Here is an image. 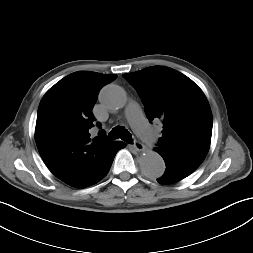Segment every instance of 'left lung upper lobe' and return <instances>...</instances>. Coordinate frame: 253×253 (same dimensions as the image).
Segmentation results:
<instances>
[{"label":"left lung upper lobe","instance_id":"1","mask_svg":"<svg viewBox=\"0 0 253 253\" xmlns=\"http://www.w3.org/2000/svg\"><path fill=\"white\" fill-rule=\"evenodd\" d=\"M137 90L149 121L161 120L158 153L203 162L211 141L212 113L202 90L184 74L152 66L123 74Z\"/></svg>","mask_w":253,"mask_h":253}]
</instances>
